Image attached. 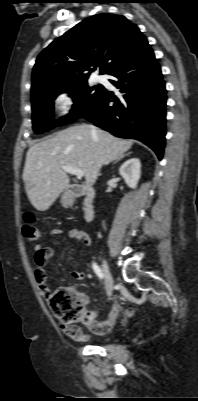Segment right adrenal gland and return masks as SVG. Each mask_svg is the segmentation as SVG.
<instances>
[{
  "label": "right adrenal gland",
  "instance_id": "2a0ac1e0",
  "mask_svg": "<svg viewBox=\"0 0 198 401\" xmlns=\"http://www.w3.org/2000/svg\"><path fill=\"white\" fill-rule=\"evenodd\" d=\"M130 154H131V152H129V153H127L126 155H124V156L118 158L113 164H116V163L119 162L122 158H124L125 156H128V155H130Z\"/></svg>",
  "mask_w": 198,
  "mask_h": 401
}]
</instances>
